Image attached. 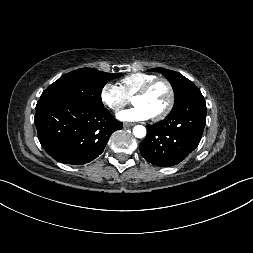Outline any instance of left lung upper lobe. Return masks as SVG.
Returning a JSON list of instances; mask_svg holds the SVG:
<instances>
[{"instance_id":"obj_1","label":"left lung upper lobe","mask_w":253,"mask_h":253,"mask_svg":"<svg viewBox=\"0 0 253 253\" xmlns=\"http://www.w3.org/2000/svg\"><path fill=\"white\" fill-rule=\"evenodd\" d=\"M148 71L160 72L171 83L175 94V103L173 109L183 102L192 89L196 88V86L189 79L175 71L164 68H153Z\"/></svg>"}]
</instances>
